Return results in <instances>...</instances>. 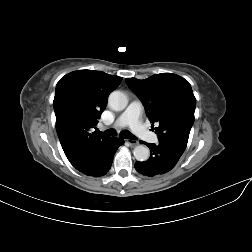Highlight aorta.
Returning a JSON list of instances; mask_svg holds the SVG:
<instances>
[{
    "mask_svg": "<svg viewBox=\"0 0 252 252\" xmlns=\"http://www.w3.org/2000/svg\"><path fill=\"white\" fill-rule=\"evenodd\" d=\"M128 104L127 96L120 92L114 91L109 95L108 105L114 111L125 109ZM134 157L138 161H146L150 156L149 148L145 145H137L133 150Z\"/></svg>",
    "mask_w": 252,
    "mask_h": 252,
    "instance_id": "obj_1",
    "label": "aorta"
}]
</instances>
